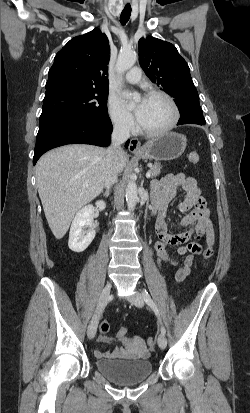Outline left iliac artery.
<instances>
[{
	"mask_svg": "<svg viewBox=\"0 0 250 413\" xmlns=\"http://www.w3.org/2000/svg\"><path fill=\"white\" fill-rule=\"evenodd\" d=\"M142 296H143L145 302L147 303V305H149L152 308V310L154 311V313L158 317V319L160 321V324H161V333L165 335L166 330H165V327L163 326V324L161 322L160 314H159V311H158V308H157L156 304L151 299L149 293L146 290L142 291Z\"/></svg>",
	"mask_w": 250,
	"mask_h": 413,
	"instance_id": "1",
	"label": "left iliac artery"
}]
</instances>
